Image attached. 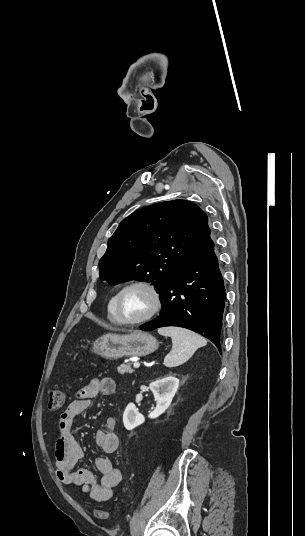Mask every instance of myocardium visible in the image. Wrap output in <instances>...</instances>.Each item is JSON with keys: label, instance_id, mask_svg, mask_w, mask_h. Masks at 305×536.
I'll use <instances>...</instances> for the list:
<instances>
[{"label": "myocardium", "instance_id": "myocardium-1", "mask_svg": "<svg viewBox=\"0 0 305 536\" xmlns=\"http://www.w3.org/2000/svg\"><path fill=\"white\" fill-rule=\"evenodd\" d=\"M135 286L143 287L150 293L152 300H153L152 308L141 319L134 320V321L124 320L121 317V298H122L123 293L127 289L131 287H135ZM162 305H163L162 293L160 289L158 288V286L149 280L136 279V280H132L124 284L116 293L115 300H114V314L119 325L124 326V327H138L152 320L160 312Z\"/></svg>", "mask_w": 305, "mask_h": 536}]
</instances>
